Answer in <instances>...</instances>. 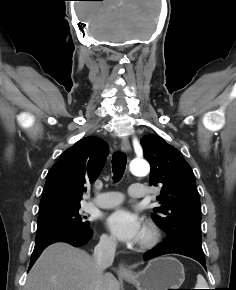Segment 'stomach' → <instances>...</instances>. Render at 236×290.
Segmentation results:
<instances>
[{
    "instance_id": "obj_1",
    "label": "stomach",
    "mask_w": 236,
    "mask_h": 290,
    "mask_svg": "<svg viewBox=\"0 0 236 290\" xmlns=\"http://www.w3.org/2000/svg\"><path fill=\"white\" fill-rule=\"evenodd\" d=\"M137 290L179 289L185 280L183 264L174 257H158L148 262L143 271L123 276Z\"/></svg>"
}]
</instances>
